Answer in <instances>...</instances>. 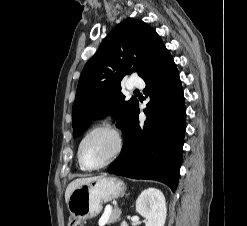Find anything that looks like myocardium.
<instances>
[{
    "mask_svg": "<svg viewBox=\"0 0 247 226\" xmlns=\"http://www.w3.org/2000/svg\"><path fill=\"white\" fill-rule=\"evenodd\" d=\"M98 131H107L109 133H111L116 141V145H115V149L112 152V154L110 155V157L105 160L103 163L96 165V166H88L84 163L83 158H82V148H83V144L85 142V140L92 135L95 132ZM123 137L121 132L119 131V129L112 123H108V122H104L101 124H98L96 126H94L93 128H91L90 130H88L83 137L80 140L79 146H78V152H77V156H78V161L80 163V165L86 169V170H98V169H102L108 165H110L111 163H113L122 153L123 150Z\"/></svg>",
    "mask_w": 247,
    "mask_h": 226,
    "instance_id": "f54148a6",
    "label": "myocardium"
}]
</instances>
